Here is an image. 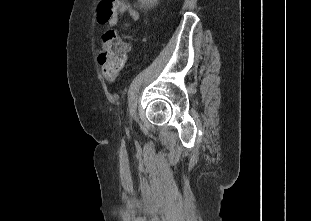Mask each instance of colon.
I'll list each match as a JSON object with an SVG mask.
<instances>
[{"mask_svg": "<svg viewBox=\"0 0 311 221\" xmlns=\"http://www.w3.org/2000/svg\"><path fill=\"white\" fill-rule=\"evenodd\" d=\"M118 2L119 0L98 1V8H101L96 18L98 26L106 25V17H114ZM126 54V48L118 41L117 33L113 30H108L103 37L102 46L99 49L102 73L107 82L115 81L123 70Z\"/></svg>", "mask_w": 311, "mask_h": 221, "instance_id": "obj_1", "label": "colon"}]
</instances>
